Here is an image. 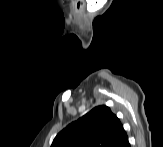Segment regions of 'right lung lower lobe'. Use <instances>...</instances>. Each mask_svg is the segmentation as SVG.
Instances as JSON below:
<instances>
[{
    "instance_id": "1",
    "label": "right lung lower lobe",
    "mask_w": 163,
    "mask_h": 147,
    "mask_svg": "<svg viewBox=\"0 0 163 147\" xmlns=\"http://www.w3.org/2000/svg\"><path fill=\"white\" fill-rule=\"evenodd\" d=\"M113 147H130L128 142L127 134L124 135L118 142H116Z\"/></svg>"
}]
</instances>
